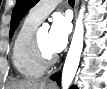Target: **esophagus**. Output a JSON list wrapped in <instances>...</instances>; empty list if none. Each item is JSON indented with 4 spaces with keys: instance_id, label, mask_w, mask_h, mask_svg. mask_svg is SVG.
<instances>
[{
    "instance_id": "esophagus-1",
    "label": "esophagus",
    "mask_w": 107,
    "mask_h": 89,
    "mask_svg": "<svg viewBox=\"0 0 107 89\" xmlns=\"http://www.w3.org/2000/svg\"><path fill=\"white\" fill-rule=\"evenodd\" d=\"M78 4H79V0H76V1H75V9H74V12H75V18H76V16H77Z\"/></svg>"
}]
</instances>
